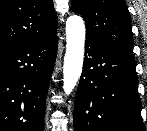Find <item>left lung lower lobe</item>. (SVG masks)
<instances>
[{
  "label": "left lung lower lobe",
  "mask_w": 147,
  "mask_h": 131,
  "mask_svg": "<svg viewBox=\"0 0 147 131\" xmlns=\"http://www.w3.org/2000/svg\"><path fill=\"white\" fill-rule=\"evenodd\" d=\"M134 58L86 39L74 131H145Z\"/></svg>",
  "instance_id": "1"
}]
</instances>
